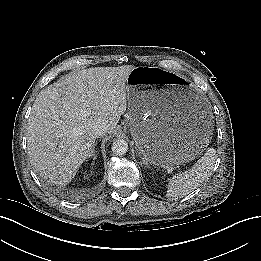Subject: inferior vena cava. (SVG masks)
Here are the masks:
<instances>
[{"label": "inferior vena cava", "mask_w": 261, "mask_h": 261, "mask_svg": "<svg viewBox=\"0 0 261 261\" xmlns=\"http://www.w3.org/2000/svg\"><path fill=\"white\" fill-rule=\"evenodd\" d=\"M107 125L105 123H96L92 127V131L95 134V136H102L107 133Z\"/></svg>", "instance_id": "1"}]
</instances>
